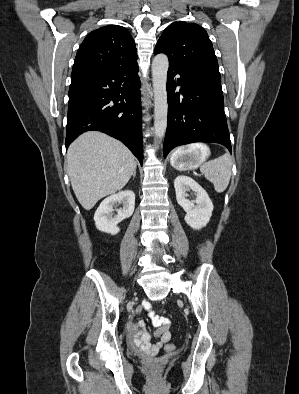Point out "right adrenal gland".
Instances as JSON below:
<instances>
[{
	"mask_svg": "<svg viewBox=\"0 0 299 394\" xmlns=\"http://www.w3.org/2000/svg\"><path fill=\"white\" fill-rule=\"evenodd\" d=\"M132 176H133V178L136 177V168L134 169Z\"/></svg>",
	"mask_w": 299,
	"mask_h": 394,
	"instance_id": "right-adrenal-gland-1",
	"label": "right adrenal gland"
}]
</instances>
